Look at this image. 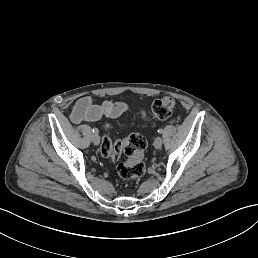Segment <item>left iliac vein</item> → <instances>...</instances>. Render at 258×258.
<instances>
[{"label":"left iliac vein","mask_w":258,"mask_h":258,"mask_svg":"<svg viewBox=\"0 0 258 258\" xmlns=\"http://www.w3.org/2000/svg\"><path fill=\"white\" fill-rule=\"evenodd\" d=\"M154 144H155V147H156V150H161V146L163 144V140L161 138V136H156L155 140H154Z\"/></svg>","instance_id":"obj_1"}]
</instances>
